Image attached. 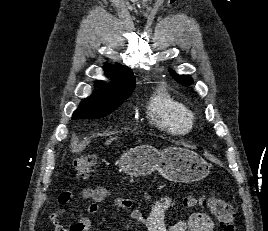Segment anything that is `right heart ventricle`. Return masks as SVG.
Masks as SVG:
<instances>
[{
	"instance_id": "obj_1",
	"label": "right heart ventricle",
	"mask_w": 268,
	"mask_h": 231,
	"mask_svg": "<svg viewBox=\"0 0 268 231\" xmlns=\"http://www.w3.org/2000/svg\"><path fill=\"white\" fill-rule=\"evenodd\" d=\"M147 117L159 130L169 134H185L193 127L194 113L165 90H158L147 106Z\"/></svg>"
}]
</instances>
